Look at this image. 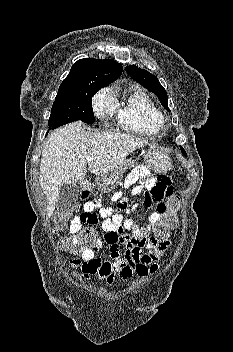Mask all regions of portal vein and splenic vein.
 <instances>
[{
    "mask_svg": "<svg viewBox=\"0 0 233 352\" xmlns=\"http://www.w3.org/2000/svg\"><path fill=\"white\" fill-rule=\"evenodd\" d=\"M93 160H94V157H87V158H86V161H87V162H91V161H93Z\"/></svg>",
    "mask_w": 233,
    "mask_h": 352,
    "instance_id": "1",
    "label": "portal vein and splenic vein"
}]
</instances>
